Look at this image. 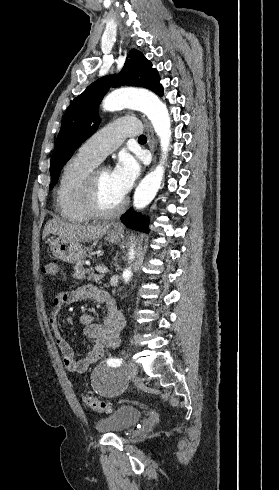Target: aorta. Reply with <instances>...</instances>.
Here are the masks:
<instances>
[{
    "label": "aorta",
    "mask_w": 279,
    "mask_h": 490,
    "mask_svg": "<svg viewBox=\"0 0 279 490\" xmlns=\"http://www.w3.org/2000/svg\"><path fill=\"white\" fill-rule=\"evenodd\" d=\"M103 109L116 111L123 108L137 109L151 121L160 139L162 161L147 174L137 186L133 205L136 209L146 207L156 196L164 176V160L171 141V120L166 105L153 93L136 90H118L109 94L103 101ZM134 244L130 247V259H134ZM132 276L130 267L123 271V279L129 282Z\"/></svg>",
    "instance_id": "obj_1"
}]
</instances>
